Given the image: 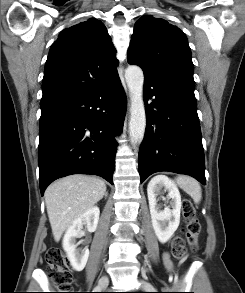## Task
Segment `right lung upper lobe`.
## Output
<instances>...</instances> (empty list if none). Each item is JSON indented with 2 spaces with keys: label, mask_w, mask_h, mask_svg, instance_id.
<instances>
[{
  "label": "right lung upper lobe",
  "mask_w": 245,
  "mask_h": 293,
  "mask_svg": "<svg viewBox=\"0 0 245 293\" xmlns=\"http://www.w3.org/2000/svg\"><path fill=\"white\" fill-rule=\"evenodd\" d=\"M115 54L105 25L96 18L64 29L46 61L41 109L77 98L118 75Z\"/></svg>",
  "instance_id": "cb5924a9"
}]
</instances>
